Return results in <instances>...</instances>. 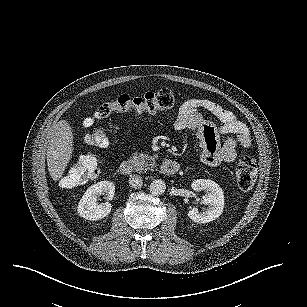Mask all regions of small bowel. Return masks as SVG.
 I'll list each match as a JSON object with an SVG mask.
<instances>
[{"label": "small bowel", "instance_id": "small-bowel-1", "mask_svg": "<svg viewBox=\"0 0 307 307\" xmlns=\"http://www.w3.org/2000/svg\"><path fill=\"white\" fill-rule=\"evenodd\" d=\"M202 111L212 114L219 126L204 119ZM137 116V115H135ZM176 130H195L202 148L201 159L210 166L231 163L236 159L237 147L248 148L251 138L248 127L233 112L207 99H189L178 111L168 114ZM129 133L127 129L125 135ZM222 135L229 137L222 143Z\"/></svg>", "mask_w": 307, "mask_h": 307}]
</instances>
